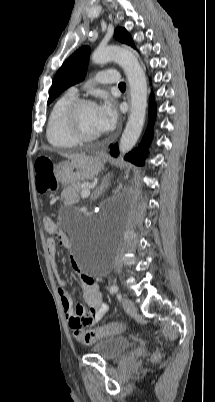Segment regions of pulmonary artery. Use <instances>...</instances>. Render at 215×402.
<instances>
[{
	"mask_svg": "<svg viewBox=\"0 0 215 402\" xmlns=\"http://www.w3.org/2000/svg\"><path fill=\"white\" fill-rule=\"evenodd\" d=\"M96 78L101 83H118L119 82V75L114 70H105L98 72ZM73 92H77L76 88L71 89Z\"/></svg>",
	"mask_w": 215,
	"mask_h": 402,
	"instance_id": "obj_1",
	"label": "pulmonary artery"
}]
</instances>
